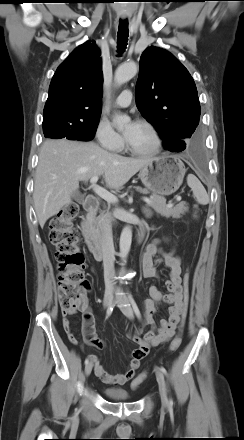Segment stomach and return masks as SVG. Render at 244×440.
<instances>
[{"label":"stomach","mask_w":244,"mask_h":440,"mask_svg":"<svg viewBox=\"0 0 244 440\" xmlns=\"http://www.w3.org/2000/svg\"><path fill=\"white\" fill-rule=\"evenodd\" d=\"M185 173L184 163L178 157L165 154L141 168L139 178L154 194L170 195L179 189Z\"/></svg>","instance_id":"0dacf381"}]
</instances>
